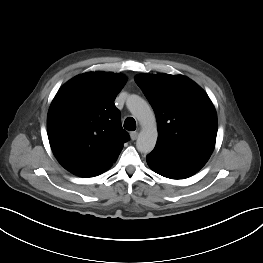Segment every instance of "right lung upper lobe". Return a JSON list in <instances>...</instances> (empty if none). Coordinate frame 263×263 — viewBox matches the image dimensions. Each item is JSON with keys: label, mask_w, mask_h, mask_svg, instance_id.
<instances>
[{"label": "right lung upper lobe", "mask_w": 263, "mask_h": 263, "mask_svg": "<svg viewBox=\"0 0 263 263\" xmlns=\"http://www.w3.org/2000/svg\"><path fill=\"white\" fill-rule=\"evenodd\" d=\"M126 77L111 72L78 75L54 97L47 118L48 138L59 163L80 177L108 169L129 140L114 100Z\"/></svg>", "instance_id": "1"}]
</instances>
